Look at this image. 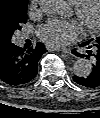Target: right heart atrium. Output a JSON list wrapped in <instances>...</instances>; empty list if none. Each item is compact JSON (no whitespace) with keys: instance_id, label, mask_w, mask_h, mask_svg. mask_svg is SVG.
I'll return each mask as SVG.
<instances>
[{"instance_id":"d8ad5b80","label":"right heart atrium","mask_w":100,"mask_h":118,"mask_svg":"<svg viewBox=\"0 0 100 118\" xmlns=\"http://www.w3.org/2000/svg\"><path fill=\"white\" fill-rule=\"evenodd\" d=\"M40 0H30V9L32 12H36L39 7Z\"/></svg>"}]
</instances>
